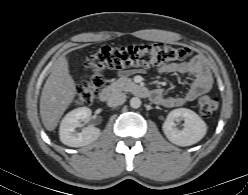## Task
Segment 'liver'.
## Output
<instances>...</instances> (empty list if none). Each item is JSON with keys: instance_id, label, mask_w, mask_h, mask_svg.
Segmentation results:
<instances>
[{"instance_id": "obj_1", "label": "liver", "mask_w": 248, "mask_h": 195, "mask_svg": "<svg viewBox=\"0 0 248 195\" xmlns=\"http://www.w3.org/2000/svg\"><path fill=\"white\" fill-rule=\"evenodd\" d=\"M51 70L40 98V115L48 131H53L57 127L77 93L65 56H60L53 63Z\"/></svg>"}]
</instances>
